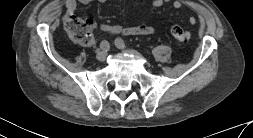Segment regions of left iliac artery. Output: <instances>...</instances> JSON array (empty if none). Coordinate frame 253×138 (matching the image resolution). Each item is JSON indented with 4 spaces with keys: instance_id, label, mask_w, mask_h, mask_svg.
Here are the masks:
<instances>
[{
    "instance_id": "left-iliac-artery-1",
    "label": "left iliac artery",
    "mask_w": 253,
    "mask_h": 138,
    "mask_svg": "<svg viewBox=\"0 0 253 138\" xmlns=\"http://www.w3.org/2000/svg\"><path fill=\"white\" fill-rule=\"evenodd\" d=\"M115 44H116L117 47H119V48H125V47H126L124 41H123L121 38H117V39L115 40ZM146 52H147L148 54H150V52H149L148 50H147Z\"/></svg>"
}]
</instances>
